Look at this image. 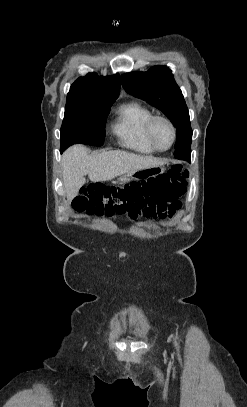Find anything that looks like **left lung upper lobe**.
Wrapping results in <instances>:
<instances>
[{"mask_svg": "<svg viewBox=\"0 0 247 407\" xmlns=\"http://www.w3.org/2000/svg\"><path fill=\"white\" fill-rule=\"evenodd\" d=\"M127 93L141 98L161 110L177 132L174 157L190 161L192 129L189 112L173 74L166 66H154L147 72H133L121 76Z\"/></svg>", "mask_w": 247, "mask_h": 407, "instance_id": "5c2ea615", "label": "left lung upper lobe"}]
</instances>
